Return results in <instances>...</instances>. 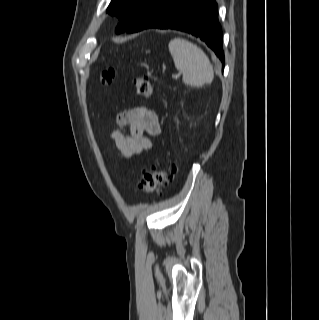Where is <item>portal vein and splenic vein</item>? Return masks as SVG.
Returning <instances> with one entry per match:
<instances>
[{
  "instance_id": "obj_1",
  "label": "portal vein and splenic vein",
  "mask_w": 319,
  "mask_h": 320,
  "mask_svg": "<svg viewBox=\"0 0 319 320\" xmlns=\"http://www.w3.org/2000/svg\"><path fill=\"white\" fill-rule=\"evenodd\" d=\"M179 76H180V74H176V75H175L176 78L179 77Z\"/></svg>"
}]
</instances>
